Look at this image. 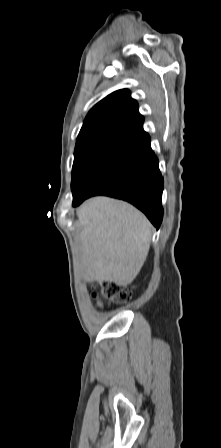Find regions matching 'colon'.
Listing matches in <instances>:
<instances>
[{
    "label": "colon",
    "mask_w": 221,
    "mask_h": 448,
    "mask_svg": "<svg viewBox=\"0 0 221 448\" xmlns=\"http://www.w3.org/2000/svg\"><path fill=\"white\" fill-rule=\"evenodd\" d=\"M131 290L123 285L113 282H104L100 285L95 297L110 303H125L131 299Z\"/></svg>",
    "instance_id": "5ec220e1"
}]
</instances>
